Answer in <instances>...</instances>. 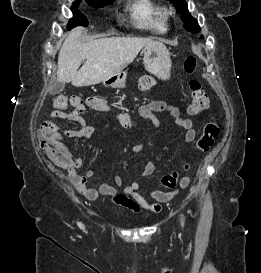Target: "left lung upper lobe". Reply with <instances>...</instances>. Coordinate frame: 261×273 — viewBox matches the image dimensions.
I'll list each match as a JSON object with an SVG mask.
<instances>
[{
    "label": "left lung upper lobe",
    "instance_id": "left-lung-upper-lobe-1",
    "mask_svg": "<svg viewBox=\"0 0 261 273\" xmlns=\"http://www.w3.org/2000/svg\"><path fill=\"white\" fill-rule=\"evenodd\" d=\"M171 3L177 8V12L180 13L182 21L185 23L184 28L187 31L198 32L200 27L195 18H193L188 12V5L184 0H170Z\"/></svg>",
    "mask_w": 261,
    "mask_h": 273
}]
</instances>
